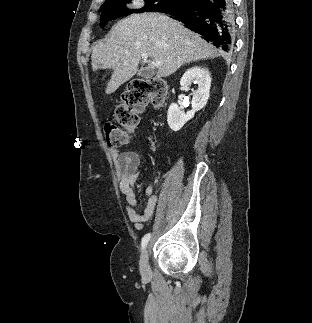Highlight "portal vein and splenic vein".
I'll use <instances>...</instances> for the list:
<instances>
[{"instance_id": "18ae733b", "label": "portal vein and splenic vein", "mask_w": 312, "mask_h": 323, "mask_svg": "<svg viewBox=\"0 0 312 323\" xmlns=\"http://www.w3.org/2000/svg\"><path fill=\"white\" fill-rule=\"evenodd\" d=\"M141 58H143V60H147L148 54H141ZM154 66L155 68H158V66H162V62H158V60H156V62H154Z\"/></svg>"}]
</instances>
